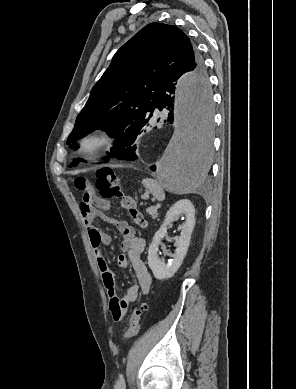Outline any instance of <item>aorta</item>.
Returning a JSON list of instances; mask_svg holds the SVG:
<instances>
[{
  "instance_id": "aorta-1",
  "label": "aorta",
  "mask_w": 296,
  "mask_h": 389,
  "mask_svg": "<svg viewBox=\"0 0 296 389\" xmlns=\"http://www.w3.org/2000/svg\"><path fill=\"white\" fill-rule=\"evenodd\" d=\"M175 129L158 174L175 191L199 189L213 161L214 106L211 81L186 72L174 85Z\"/></svg>"
}]
</instances>
